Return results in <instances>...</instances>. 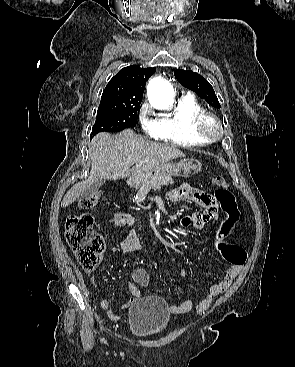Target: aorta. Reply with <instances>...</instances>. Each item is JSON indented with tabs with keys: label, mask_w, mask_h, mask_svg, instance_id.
<instances>
[{
	"label": "aorta",
	"mask_w": 295,
	"mask_h": 367,
	"mask_svg": "<svg viewBox=\"0 0 295 367\" xmlns=\"http://www.w3.org/2000/svg\"><path fill=\"white\" fill-rule=\"evenodd\" d=\"M147 95L150 104L159 110H168L174 103V91L171 85L161 77L150 80Z\"/></svg>",
	"instance_id": "762f6f07"
}]
</instances>
